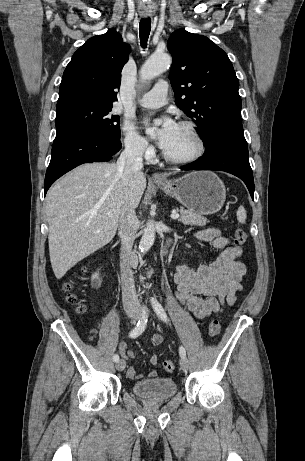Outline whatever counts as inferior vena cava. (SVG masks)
I'll use <instances>...</instances> for the list:
<instances>
[{"instance_id": "obj_1", "label": "inferior vena cava", "mask_w": 305, "mask_h": 461, "mask_svg": "<svg viewBox=\"0 0 305 461\" xmlns=\"http://www.w3.org/2000/svg\"><path fill=\"white\" fill-rule=\"evenodd\" d=\"M143 146L130 144L125 147L117 160V173L122 178L123 184H131L135 175H142ZM138 229V220L135 209L125 207L119 216V235L121 238L120 269L122 283V300L124 308L139 307L135 290L131 261L133 259L132 247Z\"/></svg>"}]
</instances>
